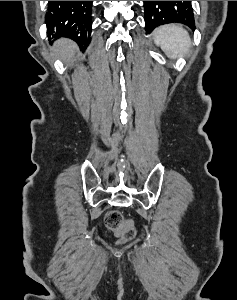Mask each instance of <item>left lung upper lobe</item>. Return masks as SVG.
I'll return each mask as SVG.
<instances>
[{
    "label": "left lung upper lobe",
    "instance_id": "1",
    "mask_svg": "<svg viewBox=\"0 0 237 300\" xmlns=\"http://www.w3.org/2000/svg\"><path fill=\"white\" fill-rule=\"evenodd\" d=\"M144 8L147 33L157 26L173 22L183 23L190 28L195 26L193 9L180 2L160 1L159 4L147 5Z\"/></svg>",
    "mask_w": 237,
    "mask_h": 300
}]
</instances>
